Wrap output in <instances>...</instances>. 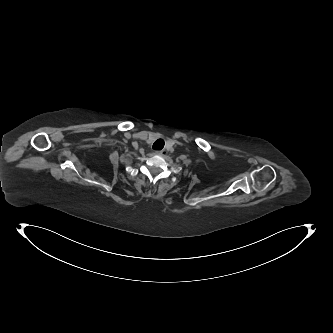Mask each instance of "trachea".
Segmentation results:
<instances>
[{
	"mask_svg": "<svg viewBox=\"0 0 333 333\" xmlns=\"http://www.w3.org/2000/svg\"><path fill=\"white\" fill-rule=\"evenodd\" d=\"M164 144H165L164 140L158 139L153 143L152 147L154 150H161V149H163Z\"/></svg>",
	"mask_w": 333,
	"mask_h": 333,
	"instance_id": "obj_1",
	"label": "trachea"
}]
</instances>
